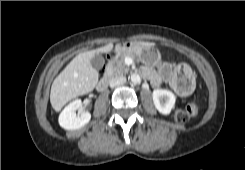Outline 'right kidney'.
Wrapping results in <instances>:
<instances>
[{
    "label": "right kidney",
    "mask_w": 245,
    "mask_h": 170,
    "mask_svg": "<svg viewBox=\"0 0 245 170\" xmlns=\"http://www.w3.org/2000/svg\"><path fill=\"white\" fill-rule=\"evenodd\" d=\"M82 106L80 99H76L68 104L59 115V125L66 130H75L85 126L91 119V114L86 111L80 116L76 114Z\"/></svg>",
    "instance_id": "1"
}]
</instances>
